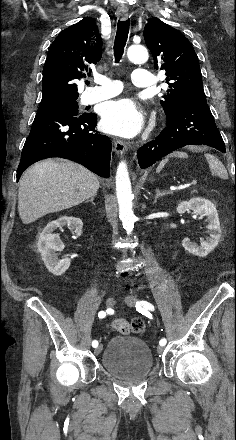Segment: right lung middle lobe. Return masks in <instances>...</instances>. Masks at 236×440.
Instances as JSON below:
<instances>
[{"label":"right lung middle lobe","instance_id":"1","mask_svg":"<svg viewBox=\"0 0 236 440\" xmlns=\"http://www.w3.org/2000/svg\"><path fill=\"white\" fill-rule=\"evenodd\" d=\"M47 108H59V109H63V110H72V111L78 113V104L76 101L57 104V105L47 107Z\"/></svg>","mask_w":236,"mask_h":440}]
</instances>
